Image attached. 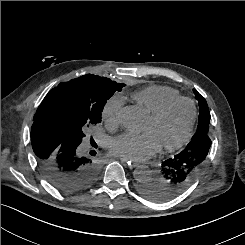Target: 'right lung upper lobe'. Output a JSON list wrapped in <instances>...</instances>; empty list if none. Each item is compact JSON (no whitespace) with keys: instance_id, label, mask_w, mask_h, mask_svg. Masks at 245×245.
<instances>
[{"instance_id":"right-lung-upper-lobe-1","label":"right lung upper lobe","mask_w":245,"mask_h":245,"mask_svg":"<svg viewBox=\"0 0 245 245\" xmlns=\"http://www.w3.org/2000/svg\"><path fill=\"white\" fill-rule=\"evenodd\" d=\"M84 76H85V75H84ZM82 77H83V76H82ZM82 77H80V78H82ZM80 78L75 79V80H79ZM75 80H74V81H75ZM60 84H62V83H60ZM60 84H59L56 88L52 89V90L46 95V97L44 98V100L42 101V103L40 104V106L38 107V109H37V111H36V114H35V116H34V118H33L34 123H33L32 126H35V122H36V121H39V120L43 121V120H42V109H43V106H44V104L46 103V101H47V100H48L54 93H56V92L59 90Z\"/></svg>"}]
</instances>
